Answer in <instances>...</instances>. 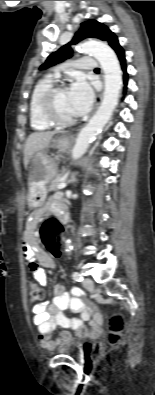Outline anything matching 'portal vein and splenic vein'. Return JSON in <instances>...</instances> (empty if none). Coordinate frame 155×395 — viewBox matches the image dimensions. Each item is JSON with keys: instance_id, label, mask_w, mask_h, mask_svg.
I'll use <instances>...</instances> for the list:
<instances>
[{"instance_id": "obj_1", "label": "portal vein and splenic vein", "mask_w": 155, "mask_h": 395, "mask_svg": "<svg viewBox=\"0 0 155 395\" xmlns=\"http://www.w3.org/2000/svg\"><path fill=\"white\" fill-rule=\"evenodd\" d=\"M67 183L64 180H61V182L57 185L58 189H62L64 187H66Z\"/></svg>"}]
</instances>
